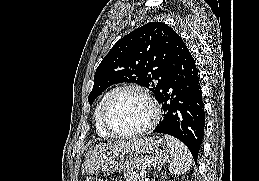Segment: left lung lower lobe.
I'll use <instances>...</instances> for the list:
<instances>
[{"label":"left lung lower lobe","instance_id":"obj_1","mask_svg":"<svg viewBox=\"0 0 259 181\" xmlns=\"http://www.w3.org/2000/svg\"><path fill=\"white\" fill-rule=\"evenodd\" d=\"M171 64L157 98L164 118L153 132L182 141L197 162L205 127L204 104L195 60L180 37L174 43Z\"/></svg>","mask_w":259,"mask_h":181}]
</instances>
